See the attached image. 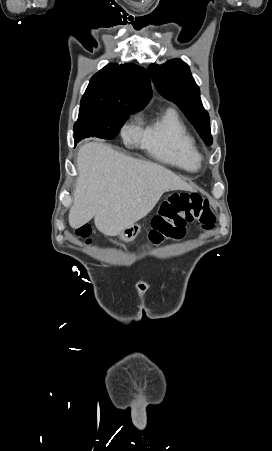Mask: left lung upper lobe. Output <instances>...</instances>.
Listing matches in <instances>:
<instances>
[{
  "instance_id": "obj_1",
  "label": "left lung upper lobe",
  "mask_w": 272,
  "mask_h": 451,
  "mask_svg": "<svg viewBox=\"0 0 272 451\" xmlns=\"http://www.w3.org/2000/svg\"><path fill=\"white\" fill-rule=\"evenodd\" d=\"M149 72L158 92L182 110L206 144H212L210 120L200 100V90L189 66L180 59L162 65L151 64Z\"/></svg>"
}]
</instances>
